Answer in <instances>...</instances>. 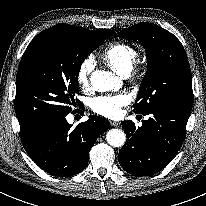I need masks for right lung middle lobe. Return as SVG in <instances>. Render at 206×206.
Instances as JSON below:
<instances>
[{"label":"right lung middle lobe","mask_w":206,"mask_h":206,"mask_svg":"<svg viewBox=\"0 0 206 206\" xmlns=\"http://www.w3.org/2000/svg\"><path fill=\"white\" fill-rule=\"evenodd\" d=\"M109 29L93 35L53 26L28 45L16 76L15 109L20 126L69 114L79 104L78 74L86 57L106 38Z\"/></svg>","instance_id":"dd1d6c3e"}]
</instances>
